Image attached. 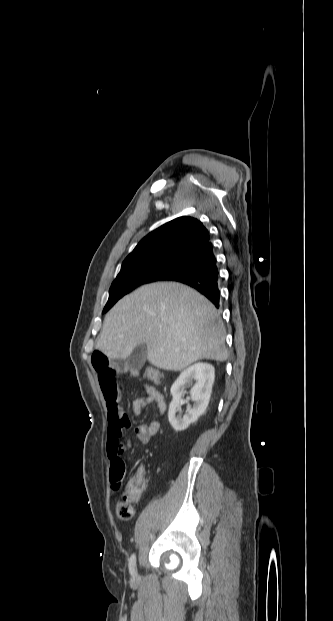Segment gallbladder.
I'll return each mask as SVG.
<instances>
[{"instance_id":"bac80fb5","label":"gallbladder","mask_w":333,"mask_h":621,"mask_svg":"<svg viewBox=\"0 0 333 621\" xmlns=\"http://www.w3.org/2000/svg\"><path fill=\"white\" fill-rule=\"evenodd\" d=\"M147 357L146 345H138L128 357V363L131 368L140 369L144 365Z\"/></svg>"}]
</instances>
